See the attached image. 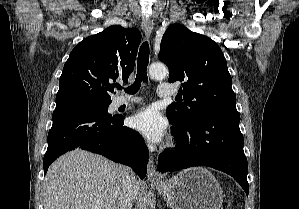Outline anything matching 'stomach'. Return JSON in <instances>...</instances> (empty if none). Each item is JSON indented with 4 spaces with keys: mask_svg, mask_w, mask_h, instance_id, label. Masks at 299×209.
I'll list each match as a JSON object with an SVG mask.
<instances>
[{
    "mask_svg": "<svg viewBox=\"0 0 299 209\" xmlns=\"http://www.w3.org/2000/svg\"><path fill=\"white\" fill-rule=\"evenodd\" d=\"M154 186L171 209H220L223 202L218 181L201 167L185 169Z\"/></svg>",
    "mask_w": 299,
    "mask_h": 209,
    "instance_id": "0dacf381",
    "label": "stomach"
}]
</instances>
